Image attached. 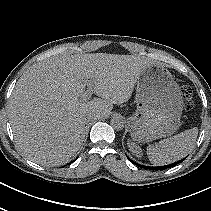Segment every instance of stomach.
Instances as JSON below:
<instances>
[{"label": "stomach", "instance_id": "obj_1", "mask_svg": "<svg viewBox=\"0 0 211 211\" xmlns=\"http://www.w3.org/2000/svg\"><path fill=\"white\" fill-rule=\"evenodd\" d=\"M136 84L137 110L129 117L131 137L148 143L174 134L181 125L183 97L169 70L151 63Z\"/></svg>", "mask_w": 211, "mask_h": 211}]
</instances>
